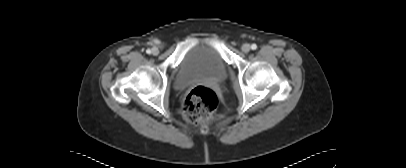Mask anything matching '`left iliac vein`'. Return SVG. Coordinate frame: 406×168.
<instances>
[{
    "mask_svg": "<svg viewBox=\"0 0 406 168\" xmlns=\"http://www.w3.org/2000/svg\"><path fill=\"white\" fill-rule=\"evenodd\" d=\"M241 49L244 53H248L250 51L251 47L248 43H245L242 45Z\"/></svg>",
    "mask_w": 406,
    "mask_h": 168,
    "instance_id": "obj_1",
    "label": "left iliac vein"
}]
</instances>
